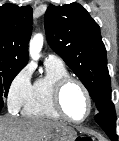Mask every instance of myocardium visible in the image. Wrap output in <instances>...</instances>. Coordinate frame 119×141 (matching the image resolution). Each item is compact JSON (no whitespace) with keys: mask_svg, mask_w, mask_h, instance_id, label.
<instances>
[{"mask_svg":"<svg viewBox=\"0 0 119 141\" xmlns=\"http://www.w3.org/2000/svg\"><path fill=\"white\" fill-rule=\"evenodd\" d=\"M72 83L77 84L81 88L87 100V112L85 116L80 120L70 118L64 111L63 105H62L63 92L65 88ZM52 101H53L54 108L56 112L59 114V116L65 119L66 121H69L72 123H82L86 121L92 112V98L89 93V90L87 89V87L82 81L72 76L63 77L54 84L53 90H52Z\"/></svg>","mask_w":119,"mask_h":141,"instance_id":"f54148a6","label":"myocardium"}]
</instances>
